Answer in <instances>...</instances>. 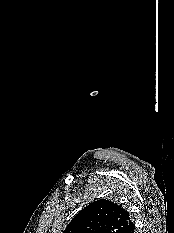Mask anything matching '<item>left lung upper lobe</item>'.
<instances>
[{
	"instance_id": "1",
	"label": "left lung upper lobe",
	"mask_w": 174,
	"mask_h": 233,
	"mask_svg": "<svg viewBox=\"0 0 174 233\" xmlns=\"http://www.w3.org/2000/svg\"><path fill=\"white\" fill-rule=\"evenodd\" d=\"M132 223L121 206L99 199L79 211L63 233H123Z\"/></svg>"
}]
</instances>
